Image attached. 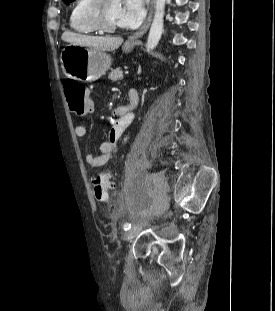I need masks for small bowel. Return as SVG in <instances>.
<instances>
[{"mask_svg": "<svg viewBox=\"0 0 275 311\" xmlns=\"http://www.w3.org/2000/svg\"><path fill=\"white\" fill-rule=\"evenodd\" d=\"M129 96L134 97L138 102V96L136 91L132 90ZM124 110H113V116L110 118V129L108 138L100 145L99 153L93 154L89 152L88 148L85 147V161L92 168H98L105 165L114 155L116 151V145L125 129L130 125L133 120V114L131 109L133 106L131 103L129 106H123ZM87 130L80 120L74 128L75 136L83 140L86 136Z\"/></svg>", "mask_w": 275, "mask_h": 311, "instance_id": "obj_1", "label": "small bowel"}]
</instances>
